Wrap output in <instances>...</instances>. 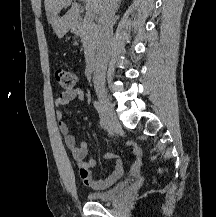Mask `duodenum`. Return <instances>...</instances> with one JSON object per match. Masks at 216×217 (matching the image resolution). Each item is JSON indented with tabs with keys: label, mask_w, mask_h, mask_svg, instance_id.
<instances>
[{
	"label": "duodenum",
	"mask_w": 216,
	"mask_h": 217,
	"mask_svg": "<svg viewBox=\"0 0 216 217\" xmlns=\"http://www.w3.org/2000/svg\"><path fill=\"white\" fill-rule=\"evenodd\" d=\"M77 24L75 28H77ZM97 66V55L94 52L88 53L87 75L92 76Z\"/></svg>",
	"instance_id": "obj_1"
}]
</instances>
